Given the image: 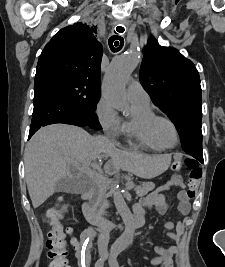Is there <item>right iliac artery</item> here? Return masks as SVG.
<instances>
[{
	"mask_svg": "<svg viewBox=\"0 0 225 267\" xmlns=\"http://www.w3.org/2000/svg\"><path fill=\"white\" fill-rule=\"evenodd\" d=\"M103 266H104V259L103 258H100L95 263V267H103ZM82 267H85V263H83V262H82Z\"/></svg>",
	"mask_w": 225,
	"mask_h": 267,
	"instance_id": "right-iliac-artery-1",
	"label": "right iliac artery"
}]
</instances>
